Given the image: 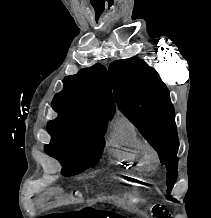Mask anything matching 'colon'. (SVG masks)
<instances>
[{
    "instance_id": "1",
    "label": "colon",
    "mask_w": 211,
    "mask_h": 218,
    "mask_svg": "<svg viewBox=\"0 0 211 218\" xmlns=\"http://www.w3.org/2000/svg\"><path fill=\"white\" fill-rule=\"evenodd\" d=\"M123 195L132 202H140L142 200L141 195L137 191H126ZM166 218H169V216L166 215Z\"/></svg>"
}]
</instances>
